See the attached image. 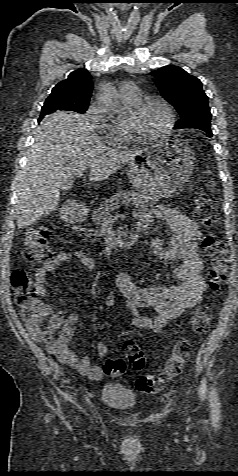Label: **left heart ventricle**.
Instances as JSON below:
<instances>
[{
	"instance_id": "b2bd125f",
	"label": "left heart ventricle",
	"mask_w": 238,
	"mask_h": 476,
	"mask_svg": "<svg viewBox=\"0 0 238 476\" xmlns=\"http://www.w3.org/2000/svg\"><path fill=\"white\" fill-rule=\"evenodd\" d=\"M126 122L142 134H154L166 125L167 114L163 107L151 105L139 114L130 111Z\"/></svg>"
}]
</instances>
